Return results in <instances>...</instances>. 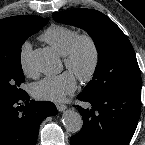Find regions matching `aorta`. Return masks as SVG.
Returning a JSON list of instances; mask_svg holds the SVG:
<instances>
[{
	"label": "aorta",
	"mask_w": 145,
	"mask_h": 145,
	"mask_svg": "<svg viewBox=\"0 0 145 145\" xmlns=\"http://www.w3.org/2000/svg\"><path fill=\"white\" fill-rule=\"evenodd\" d=\"M31 60L33 65L44 73H51L57 64L56 57L46 49L35 50ZM62 122L66 130L71 133L79 132L83 125L81 115L74 110L64 111L62 114Z\"/></svg>",
	"instance_id": "obj_1"
}]
</instances>
